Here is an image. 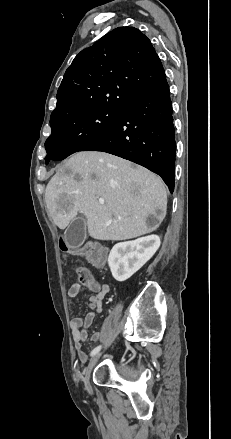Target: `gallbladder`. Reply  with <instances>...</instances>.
Here are the masks:
<instances>
[{
  "label": "gallbladder",
  "mask_w": 231,
  "mask_h": 439,
  "mask_svg": "<svg viewBox=\"0 0 231 439\" xmlns=\"http://www.w3.org/2000/svg\"><path fill=\"white\" fill-rule=\"evenodd\" d=\"M86 221L83 217L72 220L65 232V240L70 248H79L86 240Z\"/></svg>",
  "instance_id": "bac80fb5"
}]
</instances>
